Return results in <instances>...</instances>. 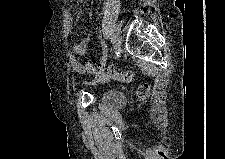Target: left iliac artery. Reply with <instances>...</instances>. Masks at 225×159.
Wrapping results in <instances>:
<instances>
[{
	"mask_svg": "<svg viewBox=\"0 0 225 159\" xmlns=\"http://www.w3.org/2000/svg\"><path fill=\"white\" fill-rule=\"evenodd\" d=\"M109 40H110V47L115 43V39H114V35L111 33L110 35H109Z\"/></svg>",
	"mask_w": 225,
	"mask_h": 159,
	"instance_id": "44dca946",
	"label": "left iliac artery"
}]
</instances>
